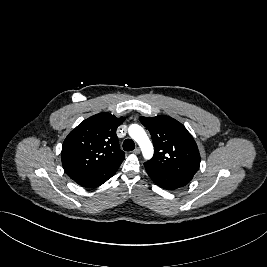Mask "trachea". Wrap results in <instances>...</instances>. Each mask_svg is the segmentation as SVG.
<instances>
[{"instance_id": "obj_1", "label": "trachea", "mask_w": 267, "mask_h": 267, "mask_svg": "<svg viewBox=\"0 0 267 267\" xmlns=\"http://www.w3.org/2000/svg\"><path fill=\"white\" fill-rule=\"evenodd\" d=\"M135 148V143L131 139H126L123 142V149L125 151H132Z\"/></svg>"}]
</instances>
